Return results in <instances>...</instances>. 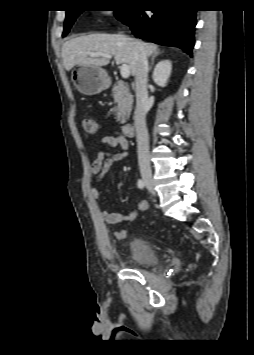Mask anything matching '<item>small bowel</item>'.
I'll return each mask as SVG.
<instances>
[{"mask_svg":"<svg viewBox=\"0 0 254 355\" xmlns=\"http://www.w3.org/2000/svg\"><path fill=\"white\" fill-rule=\"evenodd\" d=\"M121 148L124 150L122 153H112L108 148ZM129 148V141L122 133L116 132L103 136L97 146V154L95 159L91 164V172L97 175V180L101 181L105 175L109 172L111 167L128 156L127 149ZM90 196L95 201H99L100 193L98 189L92 188L90 191ZM148 208V203L146 200H141L138 202L137 208L132 210L126 215L110 212L107 210L101 211L102 219L107 224H119L122 222L132 221L136 218L139 211L146 210ZM114 236L118 240H123L127 236V232L123 229L117 230Z\"/></svg>","mask_w":254,"mask_h":355,"instance_id":"obj_1","label":"small bowel"}]
</instances>
